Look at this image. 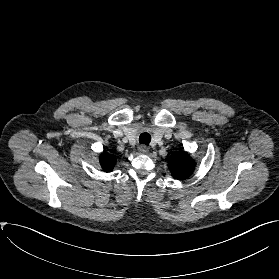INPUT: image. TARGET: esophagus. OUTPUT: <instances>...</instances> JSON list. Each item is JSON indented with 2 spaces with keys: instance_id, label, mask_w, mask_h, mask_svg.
Segmentation results:
<instances>
[{
  "instance_id": "esophagus-1",
  "label": "esophagus",
  "mask_w": 279,
  "mask_h": 279,
  "mask_svg": "<svg viewBox=\"0 0 279 279\" xmlns=\"http://www.w3.org/2000/svg\"><path fill=\"white\" fill-rule=\"evenodd\" d=\"M138 151L140 152V154H147L149 149L147 146L141 145V146H139Z\"/></svg>"
}]
</instances>
